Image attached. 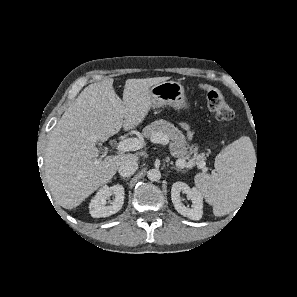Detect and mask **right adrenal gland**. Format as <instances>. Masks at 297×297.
<instances>
[{"instance_id": "2a0ac1e0", "label": "right adrenal gland", "mask_w": 297, "mask_h": 297, "mask_svg": "<svg viewBox=\"0 0 297 297\" xmlns=\"http://www.w3.org/2000/svg\"><path fill=\"white\" fill-rule=\"evenodd\" d=\"M123 180H129V178L128 177H121Z\"/></svg>"}]
</instances>
